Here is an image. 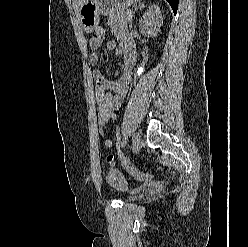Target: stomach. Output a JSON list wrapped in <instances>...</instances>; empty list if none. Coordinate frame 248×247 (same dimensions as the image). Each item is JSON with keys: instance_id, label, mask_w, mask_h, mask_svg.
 I'll return each mask as SVG.
<instances>
[{"instance_id": "obj_1", "label": "stomach", "mask_w": 248, "mask_h": 247, "mask_svg": "<svg viewBox=\"0 0 248 247\" xmlns=\"http://www.w3.org/2000/svg\"><path fill=\"white\" fill-rule=\"evenodd\" d=\"M139 0H85L77 16L86 33H92L99 25V16L116 10H124Z\"/></svg>"}]
</instances>
